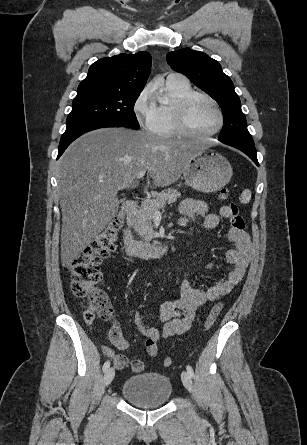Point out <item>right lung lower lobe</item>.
Here are the masks:
<instances>
[{"label": "right lung lower lobe", "instance_id": "obj_1", "mask_svg": "<svg viewBox=\"0 0 307 445\" xmlns=\"http://www.w3.org/2000/svg\"><path fill=\"white\" fill-rule=\"evenodd\" d=\"M105 127H121V126L112 123L93 122L66 128V131L62 135L60 140L57 159L63 154L65 149L79 136L83 135L86 132Z\"/></svg>", "mask_w": 307, "mask_h": 445}]
</instances>
